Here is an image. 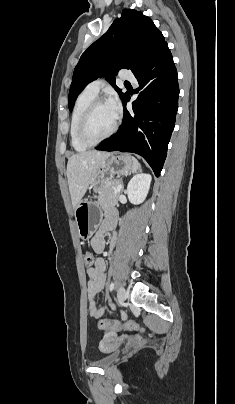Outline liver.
Listing matches in <instances>:
<instances>
[{
  "label": "liver",
  "mask_w": 235,
  "mask_h": 404,
  "mask_svg": "<svg viewBox=\"0 0 235 404\" xmlns=\"http://www.w3.org/2000/svg\"><path fill=\"white\" fill-rule=\"evenodd\" d=\"M109 155V152L85 151L68 159L66 174L74 209L82 201L93 177Z\"/></svg>",
  "instance_id": "obj_1"
}]
</instances>
